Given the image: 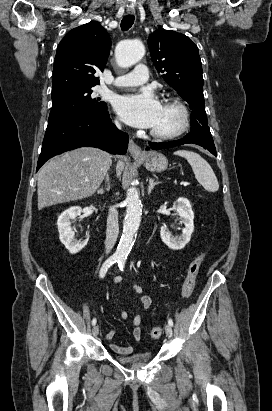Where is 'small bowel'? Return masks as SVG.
Wrapping results in <instances>:
<instances>
[{"label":"small bowel","mask_w":272,"mask_h":411,"mask_svg":"<svg viewBox=\"0 0 272 411\" xmlns=\"http://www.w3.org/2000/svg\"><path fill=\"white\" fill-rule=\"evenodd\" d=\"M124 279L122 277H115L113 282L114 283H121L123 282ZM132 290L133 292L138 296V300L144 310L148 309L151 306V298L147 295L143 294V289L141 286L137 284H132ZM120 317L122 320H127L129 315L125 310H122L120 312ZM142 316L140 313L136 314L133 318V331H132V338L135 341L140 340L141 334H142ZM114 337V331L113 330H108L104 333V338L106 340H111ZM110 348L119 354L123 355H128L131 354L134 350V347L132 345L128 346H122V345H117V344H110Z\"/></svg>","instance_id":"c3829d8e"}]
</instances>
